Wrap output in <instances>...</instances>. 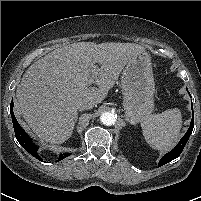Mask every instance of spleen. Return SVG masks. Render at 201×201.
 Listing matches in <instances>:
<instances>
[{"instance_id": "1", "label": "spleen", "mask_w": 201, "mask_h": 201, "mask_svg": "<svg viewBox=\"0 0 201 201\" xmlns=\"http://www.w3.org/2000/svg\"><path fill=\"white\" fill-rule=\"evenodd\" d=\"M147 143L154 149L172 148L180 137L182 115L179 109H168L161 114L149 115L141 123Z\"/></svg>"}]
</instances>
